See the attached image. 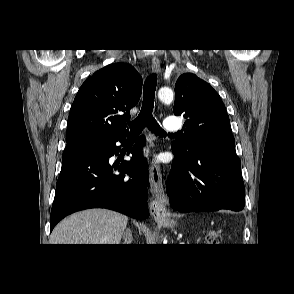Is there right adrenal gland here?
<instances>
[{
  "mask_svg": "<svg viewBox=\"0 0 294 294\" xmlns=\"http://www.w3.org/2000/svg\"><path fill=\"white\" fill-rule=\"evenodd\" d=\"M124 242L123 244H131L133 241V236L130 228H127L126 231L123 234Z\"/></svg>",
  "mask_w": 294,
  "mask_h": 294,
  "instance_id": "obj_1",
  "label": "right adrenal gland"
}]
</instances>
